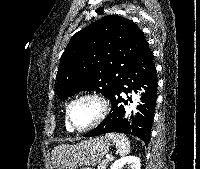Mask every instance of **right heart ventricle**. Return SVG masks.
Listing matches in <instances>:
<instances>
[{
  "mask_svg": "<svg viewBox=\"0 0 200 169\" xmlns=\"http://www.w3.org/2000/svg\"><path fill=\"white\" fill-rule=\"evenodd\" d=\"M65 127H66V129H67L68 131H70V132L72 131L71 128L68 126L67 121H66V123H65Z\"/></svg>",
  "mask_w": 200,
  "mask_h": 169,
  "instance_id": "obj_1",
  "label": "right heart ventricle"
}]
</instances>
